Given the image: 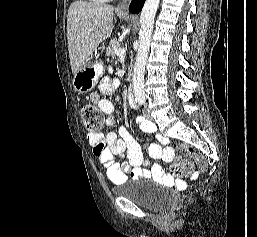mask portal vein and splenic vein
I'll use <instances>...</instances> for the list:
<instances>
[{"mask_svg": "<svg viewBox=\"0 0 257 237\" xmlns=\"http://www.w3.org/2000/svg\"><path fill=\"white\" fill-rule=\"evenodd\" d=\"M125 52H126L125 48L118 47V48L115 49V54L118 55V56L124 55Z\"/></svg>", "mask_w": 257, "mask_h": 237, "instance_id": "18ae733b", "label": "portal vein and splenic vein"}]
</instances>
